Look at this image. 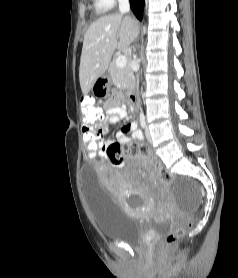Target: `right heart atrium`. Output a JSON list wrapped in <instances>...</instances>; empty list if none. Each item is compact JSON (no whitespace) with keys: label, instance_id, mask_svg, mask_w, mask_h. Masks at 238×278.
<instances>
[{"label":"right heart atrium","instance_id":"1","mask_svg":"<svg viewBox=\"0 0 238 278\" xmlns=\"http://www.w3.org/2000/svg\"><path fill=\"white\" fill-rule=\"evenodd\" d=\"M107 1H109L110 2V4L113 6L117 1H119V0H107Z\"/></svg>","mask_w":238,"mask_h":278}]
</instances>
